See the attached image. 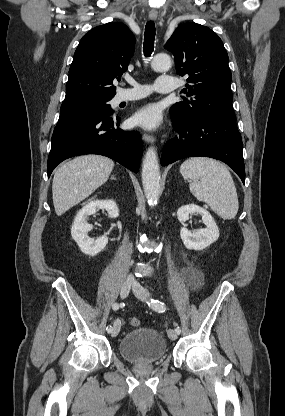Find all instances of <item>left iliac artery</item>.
Instances as JSON below:
<instances>
[{
    "label": "left iliac artery",
    "mask_w": 285,
    "mask_h": 416,
    "mask_svg": "<svg viewBox=\"0 0 285 416\" xmlns=\"http://www.w3.org/2000/svg\"><path fill=\"white\" fill-rule=\"evenodd\" d=\"M147 304L153 310L158 311L160 313L164 312L165 309H166V305L162 301H159V300H156V299H151V301L147 302ZM175 331H176L177 334H180L181 329L179 327H176Z\"/></svg>",
    "instance_id": "obj_1"
}]
</instances>
